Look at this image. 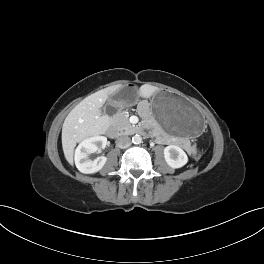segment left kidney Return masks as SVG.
I'll return each instance as SVG.
<instances>
[{
	"label": "left kidney",
	"mask_w": 264,
	"mask_h": 264,
	"mask_svg": "<svg viewBox=\"0 0 264 264\" xmlns=\"http://www.w3.org/2000/svg\"><path fill=\"white\" fill-rule=\"evenodd\" d=\"M164 158L171 168H181L188 162L186 153L178 146L169 145L164 149Z\"/></svg>",
	"instance_id": "5707ae66"
}]
</instances>
